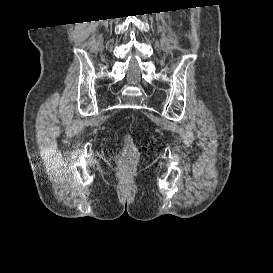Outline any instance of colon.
<instances>
[{
	"label": "colon",
	"mask_w": 273,
	"mask_h": 273,
	"mask_svg": "<svg viewBox=\"0 0 273 273\" xmlns=\"http://www.w3.org/2000/svg\"><path fill=\"white\" fill-rule=\"evenodd\" d=\"M137 157V148L130 135L125 136L124 146L121 153V164L124 168L129 167Z\"/></svg>",
	"instance_id": "5ec220e1"
}]
</instances>
